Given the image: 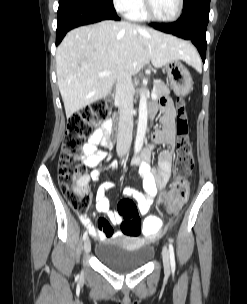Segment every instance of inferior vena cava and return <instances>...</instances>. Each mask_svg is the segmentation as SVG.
<instances>
[{
    "label": "inferior vena cava",
    "mask_w": 247,
    "mask_h": 304,
    "mask_svg": "<svg viewBox=\"0 0 247 304\" xmlns=\"http://www.w3.org/2000/svg\"><path fill=\"white\" fill-rule=\"evenodd\" d=\"M133 93L131 75L122 70L117 75L115 101L119 107L117 154L124 156L131 145L133 129Z\"/></svg>",
    "instance_id": "1"
}]
</instances>
